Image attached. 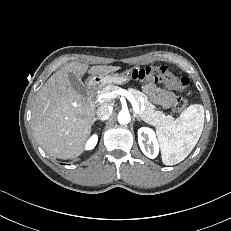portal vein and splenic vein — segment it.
<instances>
[{
  "label": "portal vein and splenic vein",
  "instance_id": "portal-vein-and-splenic-vein-1",
  "mask_svg": "<svg viewBox=\"0 0 231 231\" xmlns=\"http://www.w3.org/2000/svg\"><path fill=\"white\" fill-rule=\"evenodd\" d=\"M117 95H121V96L126 97L130 101V103L132 104L134 112L136 114H139L140 107H139L137 100L135 99V97L130 92H128L127 90H124V89H120L117 91H112L109 93L101 94L97 97V101L98 102L108 101V100L115 98Z\"/></svg>",
  "mask_w": 231,
  "mask_h": 231
}]
</instances>
